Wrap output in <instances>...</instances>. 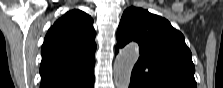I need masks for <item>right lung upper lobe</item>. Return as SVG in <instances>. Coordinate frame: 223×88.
I'll use <instances>...</instances> for the list:
<instances>
[{"mask_svg": "<svg viewBox=\"0 0 223 88\" xmlns=\"http://www.w3.org/2000/svg\"><path fill=\"white\" fill-rule=\"evenodd\" d=\"M92 18L72 10L48 30L42 46L40 88H85L94 81Z\"/></svg>", "mask_w": 223, "mask_h": 88, "instance_id": "right-lung-upper-lobe-1", "label": "right lung upper lobe"}]
</instances>
